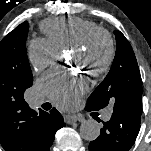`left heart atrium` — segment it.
Listing matches in <instances>:
<instances>
[{"label":"left heart atrium","instance_id":"39dd6f15","mask_svg":"<svg viewBox=\"0 0 151 151\" xmlns=\"http://www.w3.org/2000/svg\"><path fill=\"white\" fill-rule=\"evenodd\" d=\"M40 83L48 97L62 108L74 105L88 89V82L83 75L62 70L48 72Z\"/></svg>","mask_w":151,"mask_h":151}]
</instances>
